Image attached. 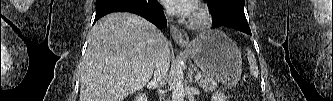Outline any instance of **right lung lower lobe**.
<instances>
[{"label":"right lung lower lobe","mask_w":333,"mask_h":101,"mask_svg":"<svg viewBox=\"0 0 333 101\" xmlns=\"http://www.w3.org/2000/svg\"><path fill=\"white\" fill-rule=\"evenodd\" d=\"M112 12H130L142 16L159 28L167 25L162 6L157 0H96L94 23Z\"/></svg>","instance_id":"98d812e1"}]
</instances>
